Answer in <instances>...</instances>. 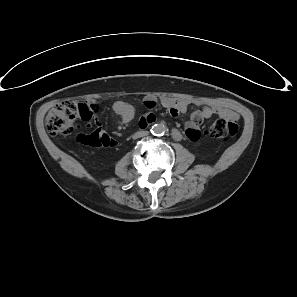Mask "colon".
Returning a JSON list of instances; mask_svg holds the SVG:
<instances>
[{
    "label": "colon",
    "mask_w": 297,
    "mask_h": 297,
    "mask_svg": "<svg viewBox=\"0 0 297 297\" xmlns=\"http://www.w3.org/2000/svg\"><path fill=\"white\" fill-rule=\"evenodd\" d=\"M98 107L85 101H65L57 104L48 114L46 119L47 131L53 135H70L77 128V121H82L88 126L96 122ZM238 132L235 118L225 116L217 119L209 128L208 135L212 138L227 141ZM78 141L95 147H112L114 139L100 129H95L88 135H79Z\"/></svg>",
    "instance_id": "colon-1"
}]
</instances>
